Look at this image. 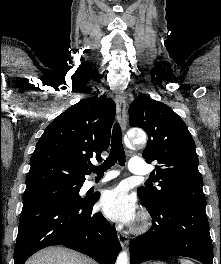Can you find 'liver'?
Listing matches in <instances>:
<instances>
[{
	"label": "liver",
	"mask_w": 221,
	"mask_h": 264,
	"mask_svg": "<svg viewBox=\"0 0 221 264\" xmlns=\"http://www.w3.org/2000/svg\"><path fill=\"white\" fill-rule=\"evenodd\" d=\"M25 264H97L91 258L78 252L63 248L49 247L43 249L32 257Z\"/></svg>",
	"instance_id": "6515ba94"
}]
</instances>
